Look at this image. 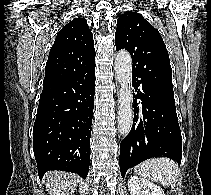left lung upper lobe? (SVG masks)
Here are the masks:
<instances>
[{
  "mask_svg": "<svg viewBox=\"0 0 211 195\" xmlns=\"http://www.w3.org/2000/svg\"><path fill=\"white\" fill-rule=\"evenodd\" d=\"M115 44L117 51L130 52L132 75L174 100L169 55L157 29L139 13L127 11L117 20Z\"/></svg>",
  "mask_w": 211,
  "mask_h": 195,
  "instance_id": "5c2ea615",
  "label": "left lung upper lobe"
}]
</instances>
